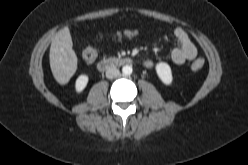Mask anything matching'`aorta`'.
<instances>
[{
	"instance_id": "762f6f07",
	"label": "aorta",
	"mask_w": 248,
	"mask_h": 165,
	"mask_svg": "<svg viewBox=\"0 0 248 165\" xmlns=\"http://www.w3.org/2000/svg\"><path fill=\"white\" fill-rule=\"evenodd\" d=\"M132 71H133V69H132V66H130V65H125L122 67V73L124 75H130V74H132Z\"/></svg>"
}]
</instances>
